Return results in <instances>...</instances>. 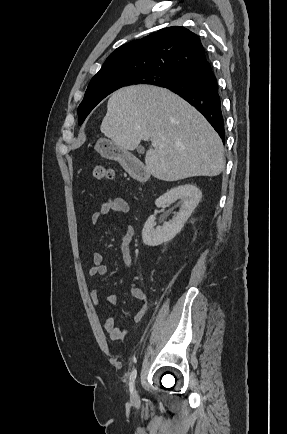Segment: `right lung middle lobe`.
Here are the masks:
<instances>
[{"mask_svg": "<svg viewBox=\"0 0 287 434\" xmlns=\"http://www.w3.org/2000/svg\"><path fill=\"white\" fill-rule=\"evenodd\" d=\"M181 75L147 72L137 76H114L90 81L83 101L78 107L79 124H82L93 108L117 89L133 84H151L166 87L175 83Z\"/></svg>", "mask_w": 287, "mask_h": 434, "instance_id": "dd1d6c3e", "label": "right lung middle lobe"}]
</instances>
